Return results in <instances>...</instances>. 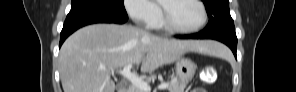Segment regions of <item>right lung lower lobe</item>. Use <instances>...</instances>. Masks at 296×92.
Instances as JSON below:
<instances>
[{"mask_svg": "<svg viewBox=\"0 0 296 92\" xmlns=\"http://www.w3.org/2000/svg\"><path fill=\"white\" fill-rule=\"evenodd\" d=\"M127 14H120L98 7H77L70 10L60 34V45L77 29L94 23H117L127 21Z\"/></svg>", "mask_w": 296, "mask_h": 92, "instance_id": "1", "label": "right lung lower lobe"}]
</instances>
